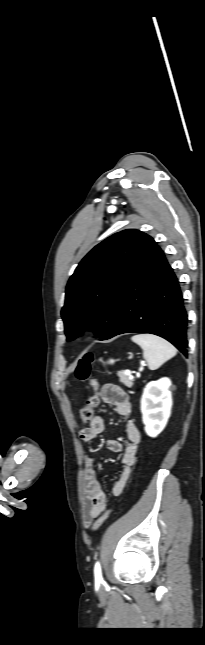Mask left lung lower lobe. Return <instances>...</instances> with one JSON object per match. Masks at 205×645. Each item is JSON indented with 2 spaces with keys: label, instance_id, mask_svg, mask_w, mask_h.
<instances>
[{
  "label": "left lung lower lobe",
  "instance_id": "1",
  "mask_svg": "<svg viewBox=\"0 0 205 645\" xmlns=\"http://www.w3.org/2000/svg\"><path fill=\"white\" fill-rule=\"evenodd\" d=\"M187 323L178 279L163 251L146 235L123 289L117 327L107 339L123 333H151L187 356Z\"/></svg>",
  "mask_w": 205,
  "mask_h": 645
}]
</instances>
